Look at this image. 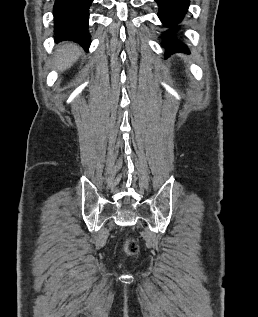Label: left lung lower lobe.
Masks as SVG:
<instances>
[{
  "label": "left lung lower lobe",
  "instance_id": "obj_1",
  "mask_svg": "<svg viewBox=\"0 0 258 317\" xmlns=\"http://www.w3.org/2000/svg\"><path fill=\"white\" fill-rule=\"evenodd\" d=\"M158 4V16L165 27L170 29L164 32V45L166 47V57L175 52H189L187 46L175 37L178 24L187 13L190 0H155Z\"/></svg>",
  "mask_w": 258,
  "mask_h": 317
}]
</instances>
